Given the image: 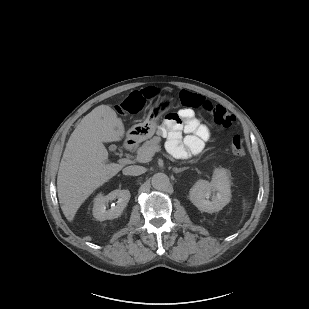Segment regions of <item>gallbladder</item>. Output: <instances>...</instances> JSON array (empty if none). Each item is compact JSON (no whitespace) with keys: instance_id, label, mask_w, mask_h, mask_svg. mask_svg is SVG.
Listing matches in <instances>:
<instances>
[{"instance_id":"gallbladder-1","label":"gallbladder","mask_w":309,"mask_h":309,"mask_svg":"<svg viewBox=\"0 0 309 309\" xmlns=\"http://www.w3.org/2000/svg\"><path fill=\"white\" fill-rule=\"evenodd\" d=\"M110 149L113 150V149H114V146H111Z\"/></svg>"}]
</instances>
